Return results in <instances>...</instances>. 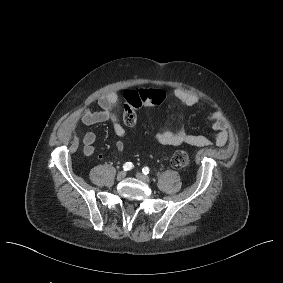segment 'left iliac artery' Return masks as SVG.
I'll list each match as a JSON object with an SVG mask.
<instances>
[{"instance_id": "1", "label": "left iliac artery", "mask_w": 283, "mask_h": 283, "mask_svg": "<svg viewBox=\"0 0 283 283\" xmlns=\"http://www.w3.org/2000/svg\"><path fill=\"white\" fill-rule=\"evenodd\" d=\"M150 169L148 167H144L142 169L143 174L147 175L149 173Z\"/></svg>"}]
</instances>
